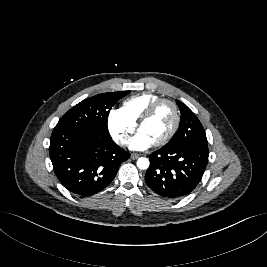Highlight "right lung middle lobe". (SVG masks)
I'll use <instances>...</instances> for the list:
<instances>
[{
  "mask_svg": "<svg viewBox=\"0 0 267 267\" xmlns=\"http://www.w3.org/2000/svg\"><path fill=\"white\" fill-rule=\"evenodd\" d=\"M128 93L130 91L109 92L85 99L66 112L55 128L108 130L107 120L112 106Z\"/></svg>",
  "mask_w": 267,
  "mask_h": 267,
  "instance_id": "obj_1",
  "label": "right lung middle lobe"
}]
</instances>
